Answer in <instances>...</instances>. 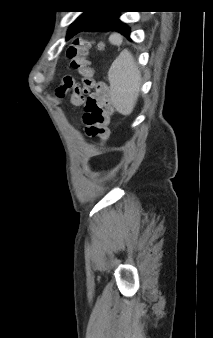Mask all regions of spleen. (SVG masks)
I'll return each mask as SVG.
<instances>
[{"label":"spleen","mask_w":213,"mask_h":338,"mask_svg":"<svg viewBox=\"0 0 213 338\" xmlns=\"http://www.w3.org/2000/svg\"><path fill=\"white\" fill-rule=\"evenodd\" d=\"M108 79L113 107L120 114H131L139 96L141 73L130 51L124 49L113 61Z\"/></svg>","instance_id":"spleen-1"}]
</instances>
